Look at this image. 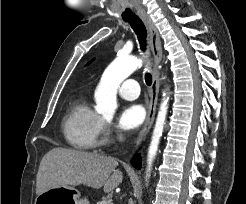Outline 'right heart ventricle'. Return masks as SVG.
Wrapping results in <instances>:
<instances>
[{
  "instance_id": "1",
  "label": "right heart ventricle",
  "mask_w": 246,
  "mask_h": 204,
  "mask_svg": "<svg viewBox=\"0 0 246 204\" xmlns=\"http://www.w3.org/2000/svg\"><path fill=\"white\" fill-rule=\"evenodd\" d=\"M104 128L102 117L97 114L85 98L74 100L63 120L66 142L77 150H92L100 144Z\"/></svg>"
}]
</instances>
